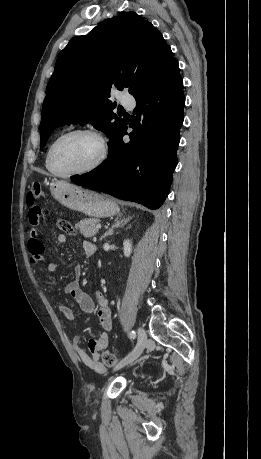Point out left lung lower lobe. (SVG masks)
Here are the masks:
<instances>
[{"label": "left lung lower lobe", "instance_id": "1", "mask_svg": "<svg viewBox=\"0 0 261 459\" xmlns=\"http://www.w3.org/2000/svg\"><path fill=\"white\" fill-rule=\"evenodd\" d=\"M134 98L130 142H123L124 124L109 146L106 161L89 173L72 176L71 181L155 210L169 193L177 165L185 104L178 61Z\"/></svg>", "mask_w": 261, "mask_h": 459}]
</instances>
